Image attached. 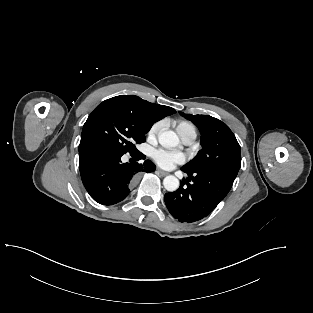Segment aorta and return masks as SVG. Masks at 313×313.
Here are the masks:
<instances>
[{
    "label": "aorta",
    "mask_w": 313,
    "mask_h": 313,
    "mask_svg": "<svg viewBox=\"0 0 313 313\" xmlns=\"http://www.w3.org/2000/svg\"><path fill=\"white\" fill-rule=\"evenodd\" d=\"M158 141L164 148H173L179 144V138L173 131L160 132L158 135ZM163 185L167 191L173 192L178 189L179 180L175 176L169 175L164 178Z\"/></svg>",
    "instance_id": "1"
}]
</instances>
